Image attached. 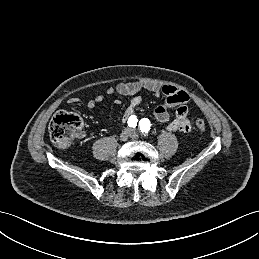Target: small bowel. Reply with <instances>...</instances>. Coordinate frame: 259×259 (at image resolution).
<instances>
[{"label":"small bowel","instance_id":"obj_1","mask_svg":"<svg viewBox=\"0 0 259 259\" xmlns=\"http://www.w3.org/2000/svg\"><path fill=\"white\" fill-rule=\"evenodd\" d=\"M146 90L153 93L156 96L163 95L165 101L163 104L158 105L154 109V117L160 123H167V130L171 132H190L191 122L188 119V108L187 103L190 97L187 92L178 89L177 87L170 84H157L150 81H130L121 82L115 87L107 89V95H113L115 93L122 96L131 97L130 104L124 112L123 120L126 121L132 116L136 108L141 104L142 97L140 92ZM104 99L103 95H98L95 98L90 99L87 102L88 109H93L96 105L101 103ZM80 99L73 97L69 100V103L74 104L79 102ZM175 108V118L170 120L169 109ZM84 132L79 133V137H84Z\"/></svg>","mask_w":259,"mask_h":259}]
</instances>
